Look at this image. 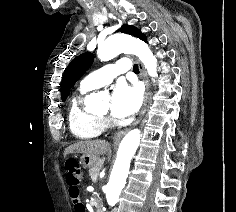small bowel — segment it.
<instances>
[{
  "mask_svg": "<svg viewBox=\"0 0 236 212\" xmlns=\"http://www.w3.org/2000/svg\"><path fill=\"white\" fill-rule=\"evenodd\" d=\"M69 202H72V212H88L87 205H79L81 203V191L79 188V179H70L68 182Z\"/></svg>",
  "mask_w": 236,
  "mask_h": 212,
  "instance_id": "1",
  "label": "small bowel"
}]
</instances>
